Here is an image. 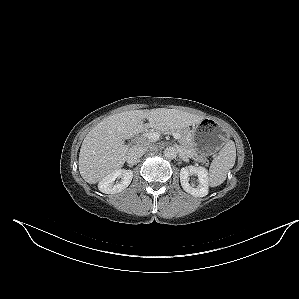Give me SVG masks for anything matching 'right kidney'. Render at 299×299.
Instances as JSON below:
<instances>
[{
    "instance_id": "right-kidney-1",
    "label": "right kidney",
    "mask_w": 299,
    "mask_h": 299,
    "mask_svg": "<svg viewBox=\"0 0 299 299\" xmlns=\"http://www.w3.org/2000/svg\"><path fill=\"white\" fill-rule=\"evenodd\" d=\"M120 178V182L115 183V180ZM132 178V170L119 169L104 177L99 182L98 189L105 194H115L127 188L131 183Z\"/></svg>"
}]
</instances>
